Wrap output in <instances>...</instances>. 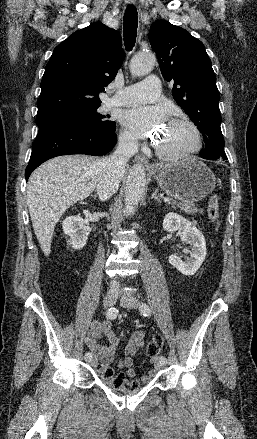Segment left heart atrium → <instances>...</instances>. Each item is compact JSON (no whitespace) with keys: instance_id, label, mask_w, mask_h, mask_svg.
<instances>
[{"instance_id":"left-heart-atrium-1","label":"left heart atrium","mask_w":257,"mask_h":439,"mask_svg":"<svg viewBox=\"0 0 257 439\" xmlns=\"http://www.w3.org/2000/svg\"><path fill=\"white\" fill-rule=\"evenodd\" d=\"M165 111L160 107H135L123 112L121 120L134 134L147 137L163 124Z\"/></svg>"}]
</instances>
